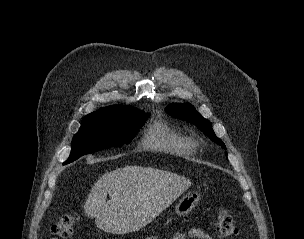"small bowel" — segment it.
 I'll list each match as a JSON object with an SVG mask.
<instances>
[{"label": "small bowel", "mask_w": 304, "mask_h": 239, "mask_svg": "<svg viewBox=\"0 0 304 239\" xmlns=\"http://www.w3.org/2000/svg\"><path fill=\"white\" fill-rule=\"evenodd\" d=\"M188 238H197V239H214L211 235L206 233L200 228H191L188 233L177 232L172 236V239H188ZM56 239V238H51Z\"/></svg>", "instance_id": "small-bowel-1"}]
</instances>
